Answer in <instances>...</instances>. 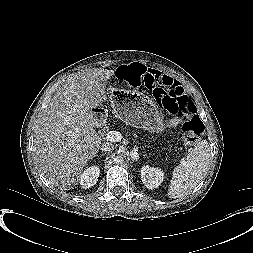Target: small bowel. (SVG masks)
<instances>
[{
    "label": "small bowel",
    "mask_w": 253,
    "mask_h": 253,
    "mask_svg": "<svg viewBox=\"0 0 253 253\" xmlns=\"http://www.w3.org/2000/svg\"><path fill=\"white\" fill-rule=\"evenodd\" d=\"M147 72L142 80V85L154 90L157 87L180 86V83L171 76L153 68H146Z\"/></svg>",
    "instance_id": "small-bowel-1"
}]
</instances>
